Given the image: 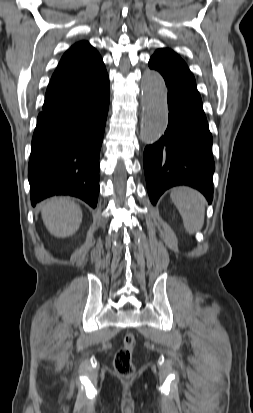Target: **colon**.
<instances>
[{"mask_svg":"<svg viewBox=\"0 0 253 413\" xmlns=\"http://www.w3.org/2000/svg\"><path fill=\"white\" fill-rule=\"evenodd\" d=\"M136 346V337L132 333L125 335L123 345L118 349L114 358V368L117 374L129 378L135 373L132 356Z\"/></svg>","mask_w":253,"mask_h":413,"instance_id":"5ec220e1","label":"colon"}]
</instances>
